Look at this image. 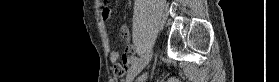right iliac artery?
Instances as JSON below:
<instances>
[{"mask_svg":"<svg viewBox=\"0 0 279 82\" xmlns=\"http://www.w3.org/2000/svg\"><path fill=\"white\" fill-rule=\"evenodd\" d=\"M139 59L137 57L134 58L133 62H132V66L135 65L137 63Z\"/></svg>","mask_w":279,"mask_h":82,"instance_id":"obj_1","label":"right iliac artery"}]
</instances>
